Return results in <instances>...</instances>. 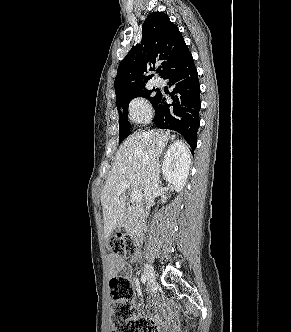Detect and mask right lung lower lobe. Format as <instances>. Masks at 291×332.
Segmentation results:
<instances>
[{
    "instance_id": "obj_1",
    "label": "right lung lower lobe",
    "mask_w": 291,
    "mask_h": 332,
    "mask_svg": "<svg viewBox=\"0 0 291 332\" xmlns=\"http://www.w3.org/2000/svg\"><path fill=\"white\" fill-rule=\"evenodd\" d=\"M163 78L173 86L172 104L166 103V95L159 92L153 107L154 123L158 128L172 129L184 136L192 151L197 146L199 128L200 84L192 56L171 69Z\"/></svg>"
}]
</instances>
